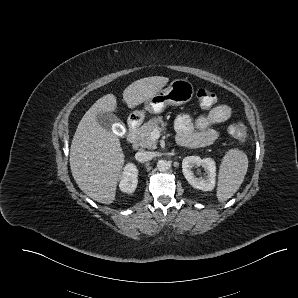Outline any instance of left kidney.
<instances>
[{"instance_id":"obj_1","label":"left kidney","mask_w":298,"mask_h":298,"mask_svg":"<svg viewBox=\"0 0 298 298\" xmlns=\"http://www.w3.org/2000/svg\"><path fill=\"white\" fill-rule=\"evenodd\" d=\"M194 165L204 167L205 174L196 176ZM182 172L187 182L194 188L203 191H212L217 184V163L211 157L200 158L198 156H187L182 161Z\"/></svg>"}]
</instances>
